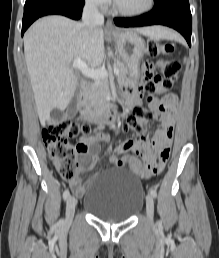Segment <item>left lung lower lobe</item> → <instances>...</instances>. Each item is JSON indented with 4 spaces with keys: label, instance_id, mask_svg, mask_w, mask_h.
Masks as SVG:
<instances>
[{
    "label": "left lung lower lobe",
    "instance_id": "left-lung-lower-lobe-1",
    "mask_svg": "<svg viewBox=\"0 0 219 258\" xmlns=\"http://www.w3.org/2000/svg\"><path fill=\"white\" fill-rule=\"evenodd\" d=\"M119 27L161 24L179 31L191 46L192 16L188 0H157L153 9L139 17L115 18Z\"/></svg>",
    "mask_w": 219,
    "mask_h": 258
}]
</instances>
